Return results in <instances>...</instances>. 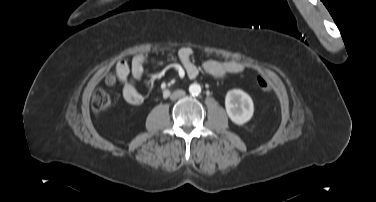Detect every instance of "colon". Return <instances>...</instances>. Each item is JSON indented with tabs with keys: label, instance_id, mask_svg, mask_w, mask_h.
Segmentation results:
<instances>
[{
	"label": "colon",
	"instance_id": "5ec220e1",
	"mask_svg": "<svg viewBox=\"0 0 376 202\" xmlns=\"http://www.w3.org/2000/svg\"><path fill=\"white\" fill-rule=\"evenodd\" d=\"M105 82L107 85H113L116 82V78L114 75H109L107 76ZM256 84L263 91H269L271 88L270 80L264 75H259L257 77ZM111 104V96L103 89L97 90L92 96L91 106L93 111L97 114L106 111Z\"/></svg>",
	"mask_w": 376,
	"mask_h": 202
}]
</instances>
